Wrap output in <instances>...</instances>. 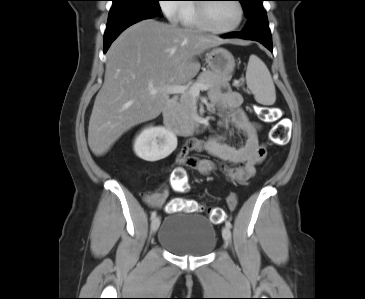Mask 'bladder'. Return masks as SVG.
Instances as JSON below:
<instances>
[{
    "mask_svg": "<svg viewBox=\"0 0 365 299\" xmlns=\"http://www.w3.org/2000/svg\"><path fill=\"white\" fill-rule=\"evenodd\" d=\"M157 240L173 254L202 257L217 246V231L215 225L203 215L172 213L164 220Z\"/></svg>",
    "mask_w": 365,
    "mask_h": 299,
    "instance_id": "1",
    "label": "bladder"
}]
</instances>
